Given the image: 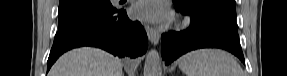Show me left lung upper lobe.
Listing matches in <instances>:
<instances>
[{"instance_id":"5c2ea615","label":"left lung upper lobe","mask_w":287,"mask_h":76,"mask_svg":"<svg viewBox=\"0 0 287 76\" xmlns=\"http://www.w3.org/2000/svg\"><path fill=\"white\" fill-rule=\"evenodd\" d=\"M173 3L176 10L204 18L228 32L238 33L235 0H173Z\"/></svg>"}]
</instances>
